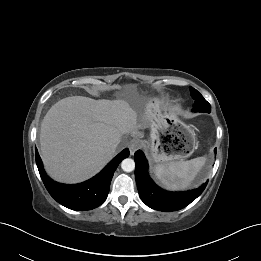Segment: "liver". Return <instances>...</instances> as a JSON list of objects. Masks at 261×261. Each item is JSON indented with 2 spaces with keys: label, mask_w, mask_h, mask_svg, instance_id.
Wrapping results in <instances>:
<instances>
[{
  "label": "liver",
  "mask_w": 261,
  "mask_h": 261,
  "mask_svg": "<svg viewBox=\"0 0 261 261\" xmlns=\"http://www.w3.org/2000/svg\"><path fill=\"white\" fill-rule=\"evenodd\" d=\"M160 110L158 101L94 100L72 96L54 104L40 131L41 157L48 174L77 183L97 174L114 156L123 135L148 128Z\"/></svg>",
  "instance_id": "1"
}]
</instances>
